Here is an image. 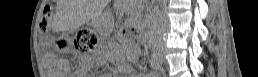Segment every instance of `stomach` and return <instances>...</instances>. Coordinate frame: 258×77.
<instances>
[{"label":"stomach","instance_id":"0dacf381","mask_svg":"<svg viewBox=\"0 0 258 77\" xmlns=\"http://www.w3.org/2000/svg\"><path fill=\"white\" fill-rule=\"evenodd\" d=\"M94 24L96 27H99L101 25V20L100 19H94Z\"/></svg>","mask_w":258,"mask_h":77}]
</instances>
